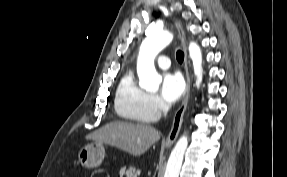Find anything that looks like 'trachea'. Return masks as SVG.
Listing matches in <instances>:
<instances>
[{
    "label": "trachea",
    "instance_id": "trachea-1",
    "mask_svg": "<svg viewBox=\"0 0 287 177\" xmlns=\"http://www.w3.org/2000/svg\"><path fill=\"white\" fill-rule=\"evenodd\" d=\"M176 58L179 63H182L184 60V53L181 50H178L176 53Z\"/></svg>",
    "mask_w": 287,
    "mask_h": 177
}]
</instances>
